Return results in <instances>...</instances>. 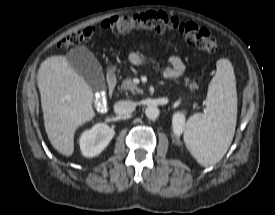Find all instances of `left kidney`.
I'll return each mask as SVG.
<instances>
[{
	"mask_svg": "<svg viewBox=\"0 0 275 215\" xmlns=\"http://www.w3.org/2000/svg\"><path fill=\"white\" fill-rule=\"evenodd\" d=\"M173 132L176 137H180L185 129V115L181 112H177L173 115L172 120Z\"/></svg>",
	"mask_w": 275,
	"mask_h": 215,
	"instance_id": "obj_1",
	"label": "left kidney"
}]
</instances>
